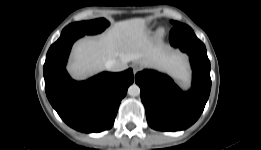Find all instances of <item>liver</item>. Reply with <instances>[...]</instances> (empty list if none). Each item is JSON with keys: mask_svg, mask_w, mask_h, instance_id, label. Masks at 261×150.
I'll list each match as a JSON object with an SVG mask.
<instances>
[{"mask_svg": "<svg viewBox=\"0 0 261 150\" xmlns=\"http://www.w3.org/2000/svg\"><path fill=\"white\" fill-rule=\"evenodd\" d=\"M145 24L141 18L124 20L116 22L104 34L79 40L68 67L72 76L84 79L102 71L107 61L122 58L181 75V55L163 50V45H154L146 34Z\"/></svg>", "mask_w": 261, "mask_h": 150, "instance_id": "1", "label": "liver"}]
</instances>
